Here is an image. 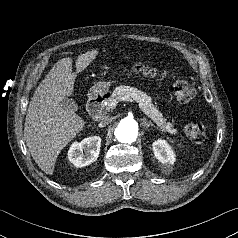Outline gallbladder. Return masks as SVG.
<instances>
[{"instance_id": "1", "label": "gallbladder", "mask_w": 238, "mask_h": 238, "mask_svg": "<svg viewBox=\"0 0 238 238\" xmlns=\"http://www.w3.org/2000/svg\"><path fill=\"white\" fill-rule=\"evenodd\" d=\"M61 104L73 111H76L78 109V106L75 101L70 98H65L64 101L61 102Z\"/></svg>"}]
</instances>
